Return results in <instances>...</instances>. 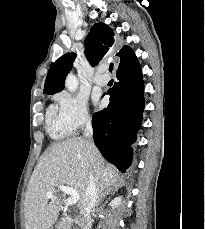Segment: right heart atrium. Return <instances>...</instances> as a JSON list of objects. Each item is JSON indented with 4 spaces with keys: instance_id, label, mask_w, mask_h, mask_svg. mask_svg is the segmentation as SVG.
I'll use <instances>...</instances> for the list:
<instances>
[{
    "instance_id": "1",
    "label": "right heart atrium",
    "mask_w": 205,
    "mask_h": 229,
    "mask_svg": "<svg viewBox=\"0 0 205 229\" xmlns=\"http://www.w3.org/2000/svg\"><path fill=\"white\" fill-rule=\"evenodd\" d=\"M55 100L62 120L73 132L92 123V115L83 97L63 91L55 95Z\"/></svg>"
}]
</instances>
